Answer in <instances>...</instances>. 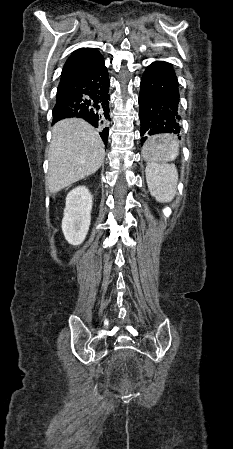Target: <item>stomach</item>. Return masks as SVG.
<instances>
[{
  "instance_id": "obj_1",
  "label": "stomach",
  "mask_w": 233,
  "mask_h": 449,
  "mask_svg": "<svg viewBox=\"0 0 233 449\" xmlns=\"http://www.w3.org/2000/svg\"><path fill=\"white\" fill-rule=\"evenodd\" d=\"M172 144L166 133H159L157 137H152L151 142L143 148L144 157L148 161H158L169 159L165 151H171Z\"/></svg>"
}]
</instances>
